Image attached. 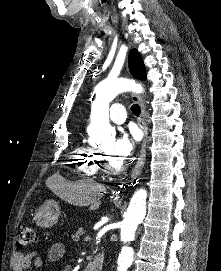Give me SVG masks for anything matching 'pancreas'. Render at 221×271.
Wrapping results in <instances>:
<instances>
[{
  "label": "pancreas",
  "instance_id": "pancreas-1",
  "mask_svg": "<svg viewBox=\"0 0 221 271\" xmlns=\"http://www.w3.org/2000/svg\"><path fill=\"white\" fill-rule=\"evenodd\" d=\"M80 235H85V229H83V227H80L78 231H75L74 235H72L70 239L71 242H82V237H80ZM84 241H86V237Z\"/></svg>",
  "mask_w": 221,
  "mask_h": 271
}]
</instances>
